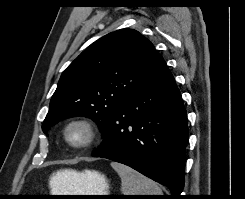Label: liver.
Segmentation results:
<instances>
[{"label":"liver","mask_w":245,"mask_h":199,"mask_svg":"<svg viewBox=\"0 0 245 199\" xmlns=\"http://www.w3.org/2000/svg\"><path fill=\"white\" fill-rule=\"evenodd\" d=\"M58 172L71 173V172H74V171H72V170H61V171H58ZM58 172H57V173H58ZM54 175H55V174H53V176H54ZM53 176H52V177H53ZM52 177H51V180H50V184H51V186L53 187V184H54V183L52 182Z\"/></svg>","instance_id":"liver-1"}]
</instances>
